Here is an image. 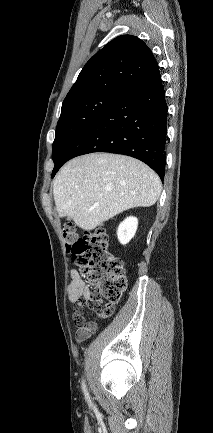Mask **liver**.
I'll list each match as a JSON object with an SVG mask.
<instances>
[{
  "mask_svg": "<svg viewBox=\"0 0 213 433\" xmlns=\"http://www.w3.org/2000/svg\"><path fill=\"white\" fill-rule=\"evenodd\" d=\"M161 190L160 178L143 162L125 155L92 153L62 167L53 195L61 217L90 231L125 210L152 206Z\"/></svg>",
  "mask_w": 213,
  "mask_h": 433,
  "instance_id": "1",
  "label": "liver"
}]
</instances>
